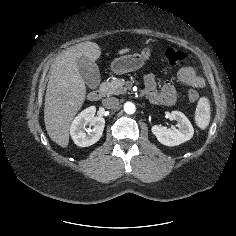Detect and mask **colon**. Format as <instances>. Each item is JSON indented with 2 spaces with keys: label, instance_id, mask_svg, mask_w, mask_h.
<instances>
[{
  "label": "colon",
  "instance_id": "5ec220e1",
  "mask_svg": "<svg viewBox=\"0 0 236 236\" xmlns=\"http://www.w3.org/2000/svg\"><path fill=\"white\" fill-rule=\"evenodd\" d=\"M184 59V53L175 48H168L165 51V60L170 65H178L180 64ZM189 99L191 101H197L199 99V94L196 90H190L188 93Z\"/></svg>",
  "mask_w": 236,
  "mask_h": 236
}]
</instances>
